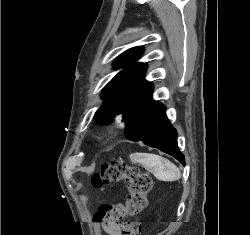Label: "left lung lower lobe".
<instances>
[{"label": "left lung lower lobe", "mask_w": 250, "mask_h": 235, "mask_svg": "<svg viewBox=\"0 0 250 235\" xmlns=\"http://www.w3.org/2000/svg\"><path fill=\"white\" fill-rule=\"evenodd\" d=\"M152 91L153 85L149 83L132 105L126 121L127 137L157 148L185 165L184 155L177 145V132L166 117V107L153 99Z\"/></svg>", "instance_id": "left-lung-lower-lobe-1"}]
</instances>
